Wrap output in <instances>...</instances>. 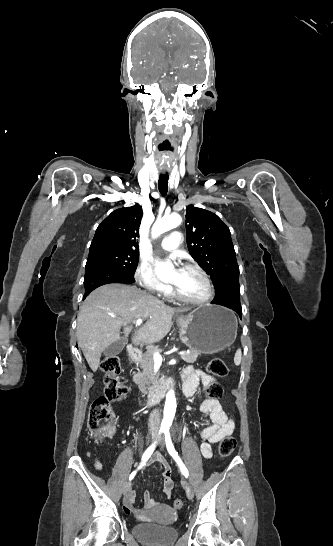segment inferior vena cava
<instances>
[{
  "label": "inferior vena cava",
  "instance_id": "602c4592",
  "mask_svg": "<svg viewBox=\"0 0 333 546\" xmlns=\"http://www.w3.org/2000/svg\"><path fill=\"white\" fill-rule=\"evenodd\" d=\"M160 424L159 411L157 409L150 413L148 427L150 431L158 432Z\"/></svg>",
  "mask_w": 333,
  "mask_h": 546
}]
</instances>
